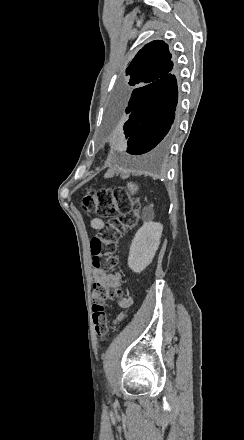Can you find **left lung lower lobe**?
Wrapping results in <instances>:
<instances>
[{"instance_id": "1", "label": "left lung lower lobe", "mask_w": 244, "mask_h": 440, "mask_svg": "<svg viewBox=\"0 0 244 440\" xmlns=\"http://www.w3.org/2000/svg\"><path fill=\"white\" fill-rule=\"evenodd\" d=\"M178 100L176 78L170 72L155 82L126 90L117 98L115 114L123 120L127 152L163 151L174 135Z\"/></svg>"}]
</instances>
